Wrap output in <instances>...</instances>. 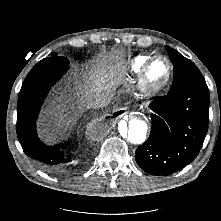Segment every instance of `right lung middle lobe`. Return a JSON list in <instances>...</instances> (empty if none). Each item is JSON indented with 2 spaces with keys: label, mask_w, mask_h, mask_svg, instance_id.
<instances>
[{
  "label": "right lung middle lobe",
  "mask_w": 221,
  "mask_h": 221,
  "mask_svg": "<svg viewBox=\"0 0 221 221\" xmlns=\"http://www.w3.org/2000/svg\"><path fill=\"white\" fill-rule=\"evenodd\" d=\"M55 56H57V53H54V54L52 55V57H55Z\"/></svg>",
  "instance_id": "1"
}]
</instances>
